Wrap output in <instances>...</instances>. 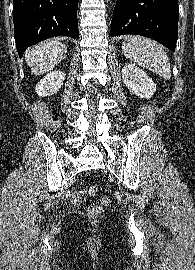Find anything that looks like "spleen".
<instances>
[{
	"label": "spleen",
	"instance_id": "1",
	"mask_svg": "<svg viewBox=\"0 0 195 270\" xmlns=\"http://www.w3.org/2000/svg\"><path fill=\"white\" fill-rule=\"evenodd\" d=\"M123 53L133 62L149 68L165 80L171 78V66L167 54L156 42L133 36L122 45Z\"/></svg>",
	"mask_w": 195,
	"mask_h": 270
}]
</instances>
